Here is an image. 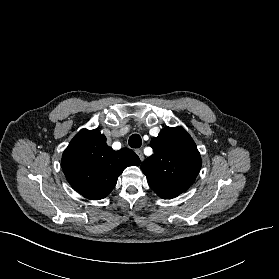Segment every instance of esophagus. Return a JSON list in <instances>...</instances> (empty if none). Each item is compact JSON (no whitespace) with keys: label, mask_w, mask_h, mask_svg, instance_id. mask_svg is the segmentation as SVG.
Here are the masks:
<instances>
[{"label":"esophagus","mask_w":279,"mask_h":279,"mask_svg":"<svg viewBox=\"0 0 279 279\" xmlns=\"http://www.w3.org/2000/svg\"><path fill=\"white\" fill-rule=\"evenodd\" d=\"M136 154L139 156V158H140L141 161L144 160V154H143L142 150L137 149V150H136Z\"/></svg>","instance_id":"obj_1"}]
</instances>
